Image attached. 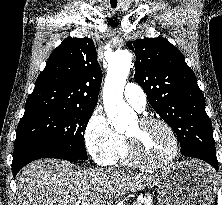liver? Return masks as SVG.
Here are the masks:
<instances>
[{"mask_svg":"<svg viewBox=\"0 0 222 205\" xmlns=\"http://www.w3.org/2000/svg\"><path fill=\"white\" fill-rule=\"evenodd\" d=\"M156 175L119 169L74 170L64 160L41 159L18 177V205H110L114 198L143 190Z\"/></svg>","mask_w":222,"mask_h":205,"instance_id":"obj_1","label":"liver"}]
</instances>
